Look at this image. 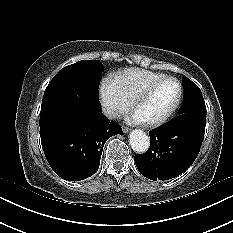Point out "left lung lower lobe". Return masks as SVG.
<instances>
[{"label": "left lung lower lobe", "instance_id": "obj_1", "mask_svg": "<svg viewBox=\"0 0 233 233\" xmlns=\"http://www.w3.org/2000/svg\"><path fill=\"white\" fill-rule=\"evenodd\" d=\"M206 115L181 114L150 133V148L134 160L139 172L153 181L185 172L196 159L205 134Z\"/></svg>", "mask_w": 233, "mask_h": 233}]
</instances>
